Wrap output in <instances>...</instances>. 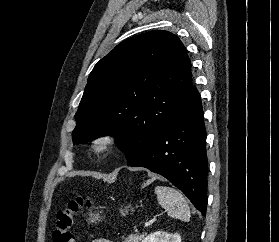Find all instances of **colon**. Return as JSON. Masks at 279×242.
<instances>
[{
	"mask_svg": "<svg viewBox=\"0 0 279 242\" xmlns=\"http://www.w3.org/2000/svg\"><path fill=\"white\" fill-rule=\"evenodd\" d=\"M90 206L91 202L82 197L69 200L66 206L57 213L52 242H75L73 227L76 216L84 207Z\"/></svg>",
	"mask_w": 279,
	"mask_h": 242,
	"instance_id": "5ec220e1",
	"label": "colon"
}]
</instances>
